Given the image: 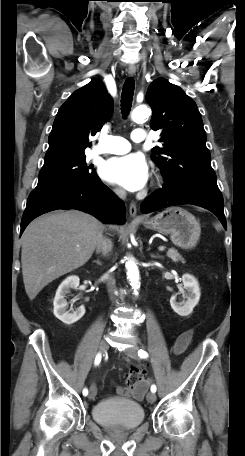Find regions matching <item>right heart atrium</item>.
<instances>
[{
  "label": "right heart atrium",
  "instance_id": "obj_1",
  "mask_svg": "<svg viewBox=\"0 0 245 456\" xmlns=\"http://www.w3.org/2000/svg\"><path fill=\"white\" fill-rule=\"evenodd\" d=\"M114 192L117 194V195H120L121 194V191L119 189H115Z\"/></svg>",
  "mask_w": 245,
  "mask_h": 456
}]
</instances>
